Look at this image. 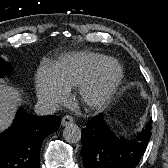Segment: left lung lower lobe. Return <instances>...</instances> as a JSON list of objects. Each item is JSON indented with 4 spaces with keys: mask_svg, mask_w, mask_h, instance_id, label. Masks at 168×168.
<instances>
[{
    "mask_svg": "<svg viewBox=\"0 0 168 168\" xmlns=\"http://www.w3.org/2000/svg\"><path fill=\"white\" fill-rule=\"evenodd\" d=\"M149 120L131 140L116 136L104 121L103 114L91 118L82 129L83 164L85 168H136L151 137Z\"/></svg>",
    "mask_w": 168,
    "mask_h": 168,
    "instance_id": "0a47b994",
    "label": "left lung lower lobe"
}]
</instances>
